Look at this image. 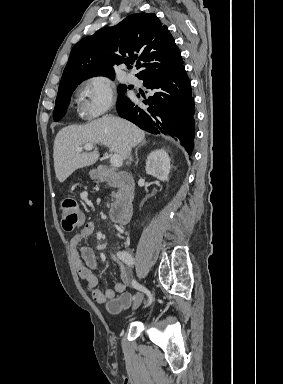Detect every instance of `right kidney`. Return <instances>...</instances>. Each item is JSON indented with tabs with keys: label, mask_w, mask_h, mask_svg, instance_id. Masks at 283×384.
Instances as JSON below:
<instances>
[{
	"label": "right kidney",
	"mask_w": 283,
	"mask_h": 384,
	"mask_svg": "<svg viewBox=\"0 0 283 384\" xmlns=\"http://www.w3.org/2000/svg\"><path fill=\"white\" fill-rule=\"evenodd\" d=\"M170 168V158L165 150H154L149 154L146 162V174H150L162 182H167Z\"/></svg>",
	"instance_id": "1"
}]
</instances>
